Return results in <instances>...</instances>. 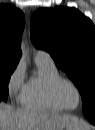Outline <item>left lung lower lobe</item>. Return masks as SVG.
Returning a JSON list of instances; mask_svg holds the SVG:
<instances>
[{
	"label": "left lung lower lobe",
	"mask_w": 95,
	"mask_h": 130,
	"mask_svg": "<svg viewBox=\"0 0 95 130\" xmlns=\"http://www.w3.org/2000/svg\"><path fill=\"white\" fill-rule=\"evenodd\" d=\"M91 123L95 124V116L86 117Z\"/></svg>",
	"instance_id": "1"
}]
</instances>
